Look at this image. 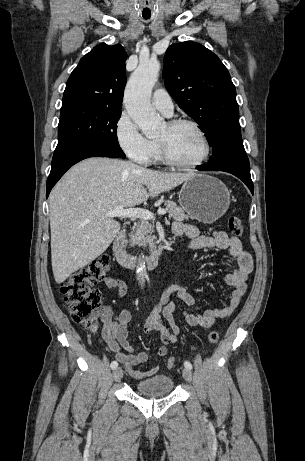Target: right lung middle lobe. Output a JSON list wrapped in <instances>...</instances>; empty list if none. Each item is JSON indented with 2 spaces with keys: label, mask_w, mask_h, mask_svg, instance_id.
<instances>
[{
  "label": "right lung middle lobe",
  "mask_w": 305,
  "mask_h": 461,
  "mask_svg": "<svg viewBox=\"0 0 305 461\" xmlns=\"http://www.w3.org/2000/svg\"><path fill=\"white\" fill-rule=\"evenodd\" d=\"M120 116L121 110L97 105L82 104L61 108L56 149L96 144L125 157L116 134Z\"/></svg>",
  "instance_id": "1"
}]
</instances>
